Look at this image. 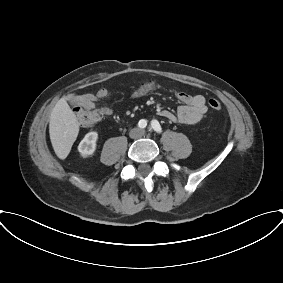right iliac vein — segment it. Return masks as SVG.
Returning a JSON list of instances; mask_svg holds the SVG:
<instances>
[{
    "instance_id": "1",
    "label": "right iliac vein",
    "mask_w": 283,
    "mask_h": 283,
    "mask_svg": "<svg viewBox=\"0 0 283 283\" xmlns=\"http://www.w3.org/2000/svg\"><path fill=\"white\" fill-rule=\"evenodd\" d=\"M130 136H131V138H133V139H137V138H138V135H137L136 132H132Z\"/></svg>"
}]
</instances>
